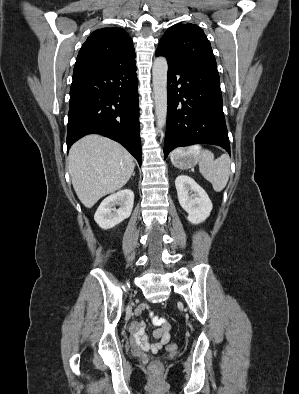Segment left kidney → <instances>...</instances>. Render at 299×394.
<instances>
[{
    "label": "left kidney",
    "instance_id": "obj_1",
    "mask_svg": "<svg viewBox=\"0 0 299 394\" xmlns=\"http://www.w3.org/2000/svg\"><path fill=\"white\" fill-rule=\"evenodd\" d=\"M178 201L188 213V221L192 224L204 222L213 208L205 190L191 177L179 175L175 180Z\"/></svg>",
    "mask_w": 299,
    "mask_h": 394
}]
</instances>
